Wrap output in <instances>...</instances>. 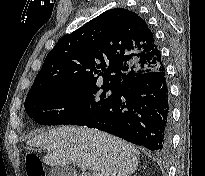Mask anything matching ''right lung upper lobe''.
<instances>
[{
	"mask_svg": "<svg viewBox=\"0 0 205 176\" xmlns=\"http://www.w3.org/2000/svg\"><path fill=\"white\" fill-rule=\"evenodd\" d=\"M161 66V53L146 22L127 9H111L59 39L29 93L48 87L96 85L101 80L118 88Z\"/></svg>",
	"mask_w": 205,
	"mask_h": 176,
	"instance_id": "1",
	"label": "right lung upper lobe"
}]
</instances>
